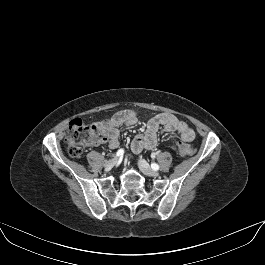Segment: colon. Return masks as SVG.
Instances as JSON below:
<instances>
[{
  "label": "colon",
  "mask_w": 265,
  "mask_h": 265,
  "mask_svg": "<svg viewBox=\"0 0 265 265\" xmlns=\"http://www.w3.org/2000/svg\"><path fill=\"white\" fill-rule=\"evenodd\" d=\"M98 130L95 125L85 124L81 119H74L65 135V145L72 157H80L85 148L93 145L98 139ZM178 151L182 156H192L195 149L184 142L178 144Z\"/></svg>",
  "instance_id": "1"
}]
</instances>
